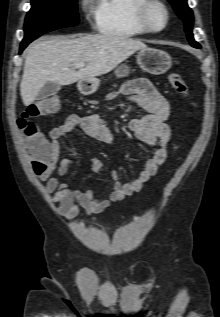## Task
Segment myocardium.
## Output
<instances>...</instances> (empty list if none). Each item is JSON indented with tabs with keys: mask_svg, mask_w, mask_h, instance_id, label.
<instances>
[{
	"mask_svg": "<svg viewBox=\"0 0 220 317\" xmlns=\"http://www.w3.org/2000/svg\"><path fill=\"white\" fill-rule=\"evenodd\" d=\"M153 7L160 8L164 13L165 22L164 25L160 28L155 27L151 22L150 11ZM136 14L138 22L148 32H161L168 26L170 21L169 8L166 5V3L162 0H143V2L137 8Z\"/></svg>",
	"mask_w": 220,
	"mask_h": 317,
	"instance_id": "f54148a6",
	"label": "myocardium"
}]
</instances>
